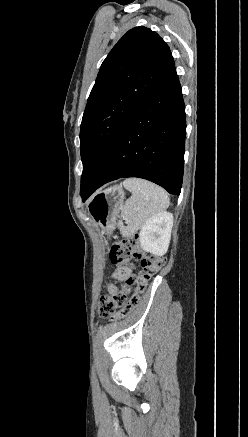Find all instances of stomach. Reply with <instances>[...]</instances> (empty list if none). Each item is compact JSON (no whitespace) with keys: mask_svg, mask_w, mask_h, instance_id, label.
Instances as JSON below:
<instances>
[{"mask_svg":"<svg viewBox=\"0 0 248 437\" xmlns=\"http://www.w3.org/2000/svg\"><path fill=\"white\" fill-rule=\"evenodd\" d=\"M125 194L121 187L114 186L96 194L88 204V213L103 232H111L124 206Z\"/></svg>","mask_w":248,"mask_h":437,"instance_id":"stomach-1","label":"stomach"}]
</instances>
